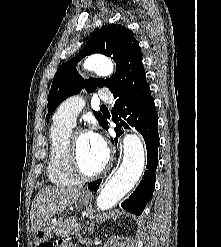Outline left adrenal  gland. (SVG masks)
Returning <instances> with one entry per match:
<instances>
[{
  "mask_svg": "<svg viewBox=\"0 0 221 247\" xmlns=\"http://www.w3.org/2000/svg\"><path fill=\"white\" fill-rule=\"evenodd\" d=\"M94 230L95 229L90 225L89 228H88V231H89L90 235L94 233Z\"/></svg>",
  "mask_w": 221,
  "mask_h": 247,
  "instance_id": "a2214340",
  "label": "left adrenal gland"
}]
</instances>
